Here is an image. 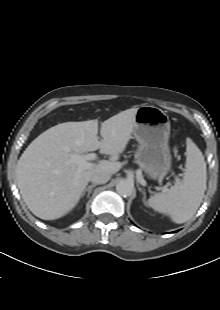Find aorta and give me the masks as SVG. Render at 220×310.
Masks as SVG:
<instances>
[{"label":"aorta","instance_id":"762f6f07","mask_svg":"<svg viewBox=\"0 0 220 310\" xmlns=\"http://www.w3.org/2000/svg\"><path fill=\"white\" fill-rule=\"evenodd\" d=\"M116 191L119 195L123 197H128L133 192V184L128 180H121L116 185Z\"/></svg>","mask_w":220,"mask_h":310}]
</instances>
